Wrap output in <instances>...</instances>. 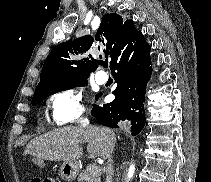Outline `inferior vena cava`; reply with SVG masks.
I'll list each match as a JSON object with an SVG mask.
<instances>
[{"instance_id":"1","label":"inferior vena cava","mask_w":211,"mask_h":182,"mask_svg":"<svg viewBox=\"0 0 211 182\" xmlns=\"http://www.w3.org/2000/svg\"><path fill=\"white\" fill-rule=\"evenodd\" d=\"M88 124H89L88 119H84L82 121L81 126L87 127ZM104 132H105V130L95 129V127H92V133L102 134ZM103 158L108 160L106 182H112V175H113L112 151L111 150H107V152L104 154Z\"/></svg>"}]
</instances>
